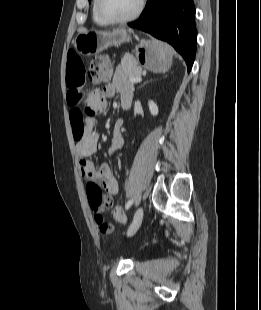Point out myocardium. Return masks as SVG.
Wrapping results in <instances>:
<instances>
[{
    "label": "myocardium",
    "instance_id": "1",
    "mask_svg": "<svg viewBox=\"0 0 261 310\" xmlns=\"http://www.w3.org/2000/svg\"><path fill=\"white\" fill-rule=\"evenodd\" d=\"M145 5V0H139L136 10L129 16L123 18H113L104 13L102 10V0H95V9L98 16L108 24H125L134 21L142 13Z\"/></svg>",
    "mask_w": 261,
    "mask_h": 310
}]
</instances>
